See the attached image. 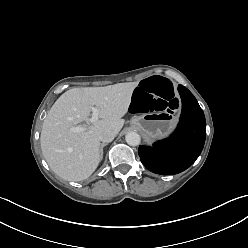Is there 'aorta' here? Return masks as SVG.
I'll return each mask as SVG.
<instances>
[{
	"instance_id": "aorta-1",
	"label": "aorta",
	"mask_w": 248,
	"mask_h": 248,
	"mask_svg": "<svg viewBox=\"0 0 248 248\" xmlns=\"http://www.w3.org/2000/svg\"><path fill=\"white\" fill-rule=\"evenodd\" d=\"M125 140L130 146H137L140 144L141 138L140 135L134 131L128 132L125 136Z\"/></svg>"
}]
</instances>
